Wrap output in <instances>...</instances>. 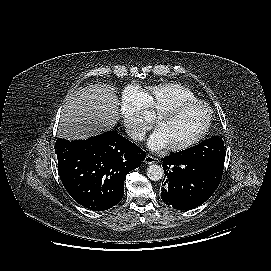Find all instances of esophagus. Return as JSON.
Wrapping results in <instances>:
<instances>
[{"mask_svg": "<svg viewBox=\"0 0 271 271\" xmlns=\"http://www.w3.org/2000/svg\"><path fill=\"white\" fill-rule=\"evenodd\" d=\"M159 159L158 158H155L151 155H146L145 159H144V162L146 164H154V163H159Z\"/></svg>", "mask_w": 271, "mask_h": 271, "instance_id": "34e87169", "label": "esophagus"}]
</instances>
